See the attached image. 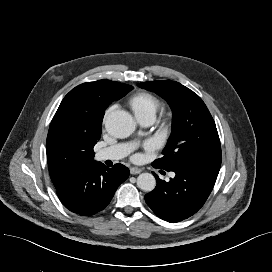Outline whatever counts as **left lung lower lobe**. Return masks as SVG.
Segmentation results:
<instances>
[{"label":"left lung lower lobe","mask_w":272,"mask_h":272,"mask_svg":"<svg viewBox=\"0 0 272 272\" xmlns=\"http://www.w3.org/2000/svg\"><path fill=\"white\" fill-rule=\"evenodd\" d=\"M219 170L200 165L173 168L168 171L175 172V177L170 178L169 182L162 181L154 174L157 186L145 195V201L165 221L176 223L187 219L207 200Z\"/></svg>","instance_id":"0a47b994"}]
</instances>
